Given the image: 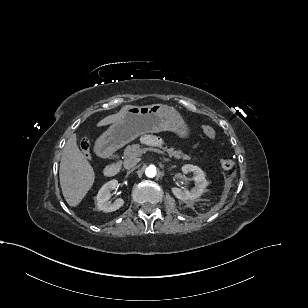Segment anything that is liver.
Here are the masks:
<instances>
[{
    "mask_svg": "<svg viewBox=\"0 0 308 308\" xmlns=\"http://www.w3.org/2000/svg\"><path fill=\"white\" fill-rule=\"evenodd\" d=\"M131 107L133 106L122 107L118 113L99 121L97 126H105L120 120ZM59 177L63 196L68 205L74 207L81 202L94 183V170L78 148L76 134L67 140L63 149Z\"/></svg>",
    "mask_w": 308,
    "mask_h": 308,
    "instance_id": "1",
    "label": "liver"
}]
</instances>
